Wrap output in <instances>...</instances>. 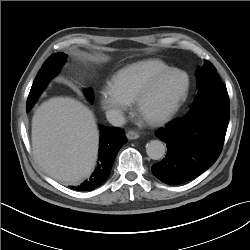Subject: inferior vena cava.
Listing matches in <instances>:
<instances>
[{
    "label": "inferior vena cava",
    "mask_w": 250,
    "mask_h": 250,
    "mask_svg": "<svg viewBox=\"0 0 250 250\" xmlns=\"http://www.w3.org/2000/svg\"><path fill=\"white\" fill-rule=\"evenodd\" d=\"M106 118L113 126L120 127L126 123L121 111L110 109L106 111Z\"/></svg>",
    "instance_id": "obj_1"
}]
</instances>
